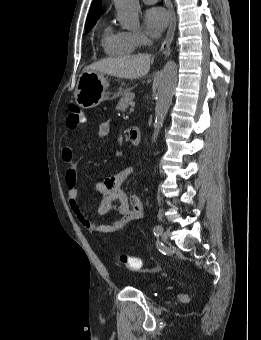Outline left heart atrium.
Returning <instances> with one entry per match:
<instances>
[{"instance_id":"left-heart-atrium-1","label":"left heart atrium","mask_w":261,"mask_h":340,"mask_svg":"<svg viewBox=\"0 0 261 340\" xmlns=\"http://www.w3.org/2000/svg\"><path fill=\"white\" fill-rule=\"evenodd\" d=\"M144 21L149 34L157 37L168 25L170 16L164 8L152 7L147 10Z\"/></svg>"}]
</instances>
